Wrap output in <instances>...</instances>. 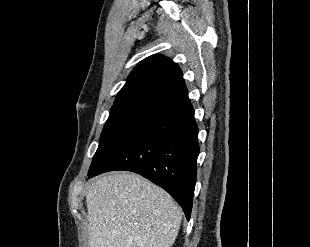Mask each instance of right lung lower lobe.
I'll use <instances>...</instances> for the list:
<instances>
[{"label":"right lung lower lobe","mask_w":310,"mask_h":247,"mask_svg":"<svg viewBox=\"0 0 310 247\" xmlns=\"http://www.w3.org/2000/svg\"><path fill=\"white\" fill-rule=\"evenodd\" d=\"M198 155V127L186 98L149 119L88 176L114 170L138 173L166 190L189 220Z\"/></svg>","instance_id":"1"}]
</instances>
